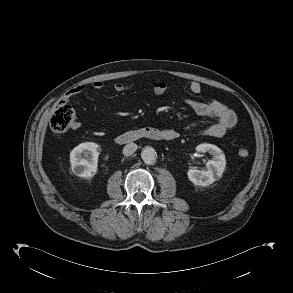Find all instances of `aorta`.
Returning a JSON list of instances; mask_svg holds the SVG:
<instances>
[{"label": "aorta", "mask_w": 293, "mask_h": 293, "mask_svg": "<svg viewBox=\"0 0 293 293\" xmlns=\"http://www.w3.org/2000/svg\"><path fill=\"white\" fill-rule=\"evenodd\" d=\"M141 158L146 164H154L157 159L156 151L153 147L146 146L141 152Z\"/></svg>", "instance_id": "obj_1"}]
</instances>
